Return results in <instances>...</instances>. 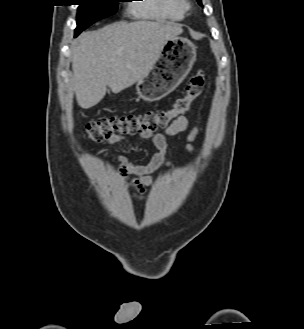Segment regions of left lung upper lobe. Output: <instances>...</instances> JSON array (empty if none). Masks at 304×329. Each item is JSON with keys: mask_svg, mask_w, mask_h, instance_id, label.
<instances>
[{"mask_svg": "<svg viewBox=\"0 0 304 329\" xmlns=\"http://www.w3.org/2000/svg\"><path fill=\"white\" fill-rule=\"evenodd\" d=\"M200 5H202L201 0H197Z\"/></svg>", "mask_w": 304, "mask_h": 329, "instance_id": "5c2ea615", "label": "left lung upper lobe"}]
</instances>
